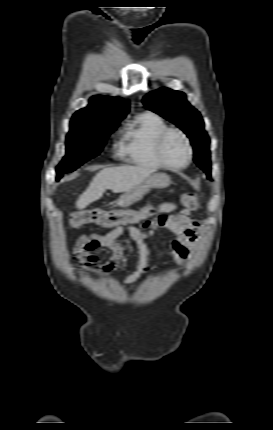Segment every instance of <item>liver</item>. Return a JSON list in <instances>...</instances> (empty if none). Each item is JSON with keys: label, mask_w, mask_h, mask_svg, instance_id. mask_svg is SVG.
<instances>
[{"label": "liver", "mask_w": 273, "mask_h": 430, "mask_svg": "<svg viewBox=\"0 0 273 430\" xmlns=\"http://www.w3.org/2000/svg\"><path fill=\"white\" fill-rule=\"evenodd\" d=\"M154 172V169L144 166L123 165L104 168L96 174L89 187L79 196L76 207L86 208L100 199L107 189L114 193L128 192Z\"/></svg>", "instance_id": "6515ba94"}]
</instances>
